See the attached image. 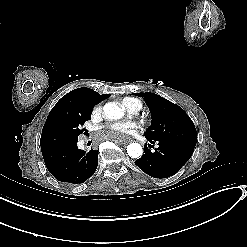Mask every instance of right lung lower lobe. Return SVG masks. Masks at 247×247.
I'll use <instances>...</instances> for the list:
<instances>
[{
    "instance_id": "98d812e1",
    "label": "right lung lower lobe",
    "mask_w": 247,
    "mask_h": 247,
    "mask_svg": "<svg viewBox=\"0 0 247 247\" xmlns=\"http://www.w3.org/2000/svg\"><path fill=\"white\" fill-rule=\"evenodd\" d=\"M77 142L41 149L49 172L61 182L83 183L96 171L98 151L78 149Z\"/></svg>"
}]
</instances>
